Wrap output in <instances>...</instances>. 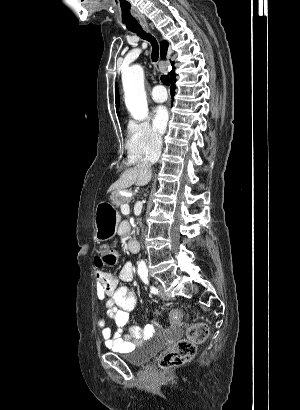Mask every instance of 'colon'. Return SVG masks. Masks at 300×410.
<instances>
[{"label":"colon","instance_id":"obj_1","mask_svg":"<svg viewBox=\"0 0 300 410\" xmlns=\"http://www.w3.org/2000/svg\"><path fill=\"white\" fill-rule=\"evenodd\" d=\"M118 261V252L115 249H105L95 257L97 267L113 266ZM170 322L172 325H180L182 330H187V338L179 340L174 347L166 352L158 362L161 369H169L179 366L190 360L196 353L197 344L203 343L209 336V328L204 323H195L189 326L184 321L183 310L174 308Z\"/></svg>","mask_w":300,"mask_h":410}]
</instances>
